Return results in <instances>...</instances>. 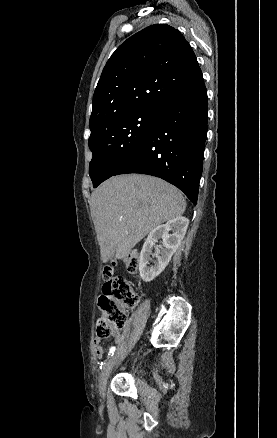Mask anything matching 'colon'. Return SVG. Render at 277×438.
<instances>
[{
	"instance_id": "5ec220e1",
	"label": "colon",
	"mask_w": 277,
	"mask_h": 438,
	"mask_svg": "<svg viewBox=\"0 0 277 438\" xmlns=\"http://www.w3.org/2000/svg\"><path fill=\"white\" fill-rule=\"evenodd\" d=\"M129 253H124L121 257L127 259V270L134 273L139 268V261L131 257H138L140 252L138 248H131ZM102 277L106 284L99 285L98 303L103 315L97 325V331L94 332V339L97 341L124 327L127 320L126 310L137 302V296L130 283L123 276L115 274L114 260L103 267Z\"/></svg>"
}]
</instances>
